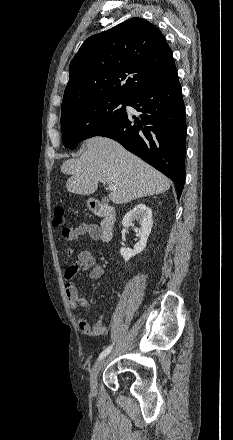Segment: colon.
<instances>
[{
  "label": "colon",
  "instance_id": "5ec220e1",
  "mask_svg": "<svg viewBox=\"0 0 233 440\" xmlns=\"http://www.w3.org/2000/svg\"><path fill=\"white\" fill-rule=\"evenodd\" d=\"M65 214L64 209L61 206H55L53 209V219L52 224L55 227H64L65 226Z\"/></svg>",
  "mask_w": 233,
  "mask_h": 440
}]
</instances>
